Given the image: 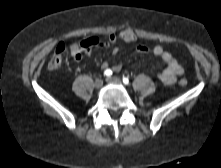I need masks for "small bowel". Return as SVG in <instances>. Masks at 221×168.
<instances>
[{
  "label": "small bowel",
  "mask_w": 221,
  "mask_h": 168,
  "mask_svg": "<svg viewBox=\"0 0 221 168\" xmlns=\"http://www.w3.org/2000/svg\"><path fill=\"white\" fill-rule=\"evenodd\" d=\"M109 43L114 44L116 42H112L110 39ZM129 43V42H126ZM134 50L138 53H146L149 51V47L145 44H135L134 45ZM119 52L118 47H114L112 49V54L117 55ZM152 53L160 57L163 62L166 64L164 69L158 74V78L160 79L161 82H163L166 85H172L176 82L177 77L181 76L184 73L183 67L178 63V61L169 53L166 51L162 46L156 45L152 48ZM82 57H80L77 60H80ZM102 68L107 70V69H112L115 72H119L122 69L121 64H114L111 65L108 61H104L102 63Z\"/></svg>",
  "instance_id": "c3829d8e"
}]
</instances>
